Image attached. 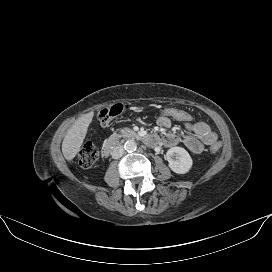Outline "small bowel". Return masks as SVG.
<instances>
[{"mask_svg": "<svg viewBox=\"0 0 272 272\" xmlns=\"http://www.w3.org/2000/svg\"><path fill=\"white\" fill-rule=\"evenodd\" d=\"M157 124L162 128L171 127L169 118L160 116ZM186 134L183 139L176 132H168L164 138V143L168 147H173L179 144L180 141L194 154H199L203 151L204 145H212L217 141V135L205 122H184Z\"/></svg>", "mask_w": 272, "mask_h": 272, "instance_id": "1", "label": "small bowel"}]
</instances>
